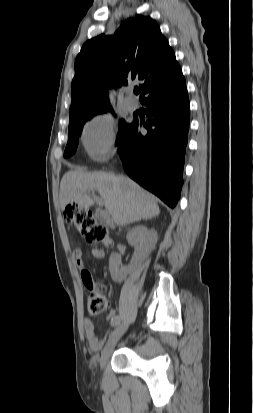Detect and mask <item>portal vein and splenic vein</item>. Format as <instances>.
<instances>
[{
  "mask_svg": "<svg viewBox=\"0 0 253 413\" xmlns=\"http://www.w3.org/2000/svg\"><path fill=\"white\" fill-rule=\"evenodd\" d=\"M92 196H93V198H94V200L100 205V206H103V201L101 200V199H99L97 196H95L93 193H92ZM108 214L107 213H105L104 214V216H107Z\"/></svg>",
  "mask_w": 253,
  "mask_h": 413,
  "instance_id": "1",
  "label": "portal vein and splenic vein"
}]
</instances>
